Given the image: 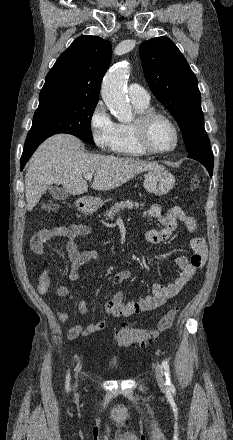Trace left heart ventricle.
<instances>
[{
    "mask_svg": "<svg viewBox=\"0 0 233 440\" xmlns=\"http://www.w3.org/2000/svg\"><path fill=\"white\" fill-rule=\"evenodd\" d=\"M150 144L158 150L170 149L175 142L172 127L163 119H156L149 129Z\"/></svg>",
    "mask_w": 233,
    "mask_h": 440,
    "instance_id": "b2bd125f",
    "label": "left heart ventricle"
}]
</instances>
